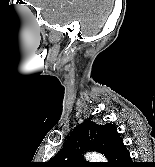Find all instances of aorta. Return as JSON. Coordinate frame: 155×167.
I'll list each match as a JSON object with an SVG mask.
<instances>
[{
    "instance_id": "aorta-1",
    "label": "aorta",
    "mask_w": 155,
    "mask_h": 167,
    "mask_svg": "<svg viewBox=\"0 0 155 167\" xmlns=\"http://www.w3.org/2000/svg\"><path fill=\"white\" fill-rule=\"evenodd\" d=\"M86 159L91 161V162H104L105 158L98 153H88L86 156Z\"/></svg>"
}]
</instances>
